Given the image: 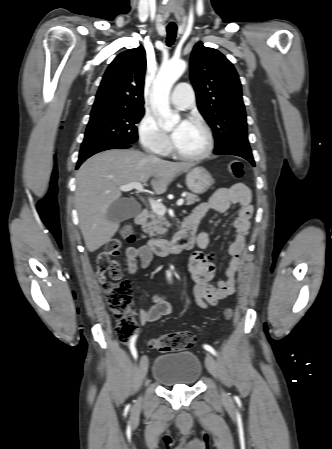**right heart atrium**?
<instances>
[{
  "label": "right heart atrium",
  "instance_id": "1",
  "mask_svg": "<svg viewBox=\"0 0 332 449\" xmlns=\"http://www.w3.org/2000/svg\"><path fill=\"white\" fill-rule=\"evenodd\" d=\"M139 137L143 146L156 154L163 155L170 150L169 138L160 129L155 117L151 115H145L141 119Z\"/></svg>",
  "mask_w": 332,
  "mask_h": 449
}]
</instances>
